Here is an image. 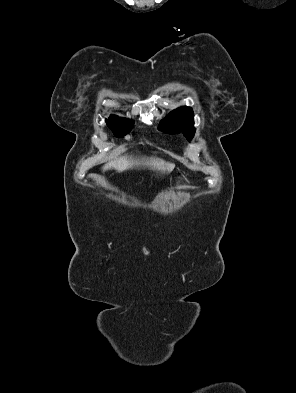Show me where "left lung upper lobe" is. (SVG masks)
Returning a JSON list of instances; mask_svg holds the SVG:
<instances>
[{
  "mask_svg": "<svg viewBox=\"0 0 296 393\" xmlns=\"http://www.w3.org/2000/svg\"><path fill=\"white\" fill-rule=\"evenodd\" d=\"M159 129L167 133H180L191 140L195 133L193 111L190 107L173 110L160 124Z\"/></svg>",
  "mask_w": 296,
  "mask_h": 393,
  "instance_id": "left-lung-upper-lobe-1",
  "label": "left lung upper lobe"
}]
</instances>
